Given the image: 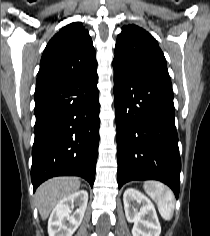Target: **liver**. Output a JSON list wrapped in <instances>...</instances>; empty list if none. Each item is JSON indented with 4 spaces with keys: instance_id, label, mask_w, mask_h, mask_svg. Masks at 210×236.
Returning a JSON list of instances; mask_svg holds the SVG:
<instances>
[{
    "instance_id": "obj_1",
    "label": "liver",
    "mask_w": 210,
    "mask_h": 236,
    "mask_svg": "<svg viewBox=\"0 0 210 236\" xmlns=\"http://www.w3.org/2000/svg\"><path fill=\"white\" fill-rule=\"evenodd\" d=\"M79 188L80 180L76 177H56L41 184L35 194L41 218L46 220L57 203Z\"/></svg>"
}]
</instances>
